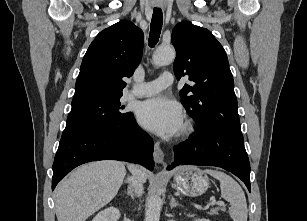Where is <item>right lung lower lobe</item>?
<instances>
[{"label":"right lung lower lobe","instance_id":"98d812e1","mask_svg":"<svg viewBox=\"0 0 307 221\" xmlns=\"http://www.w3.org/2000/svg\"><path fill=\"white\" fill-rule=\"evenodd\" d=\"M152 138L132 113L123 120L62 137L53 163L52 190L75 167L90 161L115 159L154 167Z\"/></svg>","mask_w":307,"mask_h":221}]
</instances>
